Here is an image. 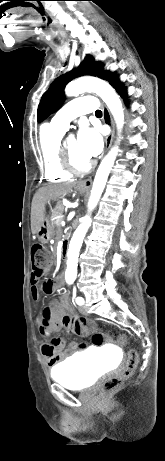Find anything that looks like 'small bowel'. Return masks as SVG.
Segmentation results:
<instances>
[{
  "label": "small bowel",
  "instance_id": "small-bowel-1",
  "mask_svg": "<svg viewBox=\"0 0 165 461\" xmlns=\"http://www.w3.org/2000/svg\"><path fill=\"white\" fill-rule=\"evenodd\" d=\"M60 285V280H46L39 286L38 281L32 279L31 297L37 301L41 292L47 296L52 295L59 289ZM36 323L43 338L40 343V351L49 367L58 365L75 352L82 353L85 351L90 354L92 351L103 350L104 333L93 332V336L85 337L93 330V326L87 319L72 314L69 295L66 292H63L58 300L53 301L43 309L42 314L36 318ZM62 328L68 329L73 334L83 336L80 339L81 344L72 342L64 351V341L61 338H53L49 342L48 339L52 334Z\"/></svg>",
  "mask_w": 165,
  "mask_h": 461
}]
</instances>
